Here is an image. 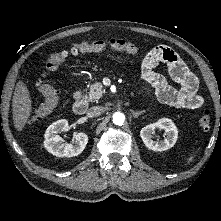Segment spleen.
I'll return each instance as SVG.
<instances>
[{
    "label": "spleen",
    "instance_id": "obj_1",
    "mask_svg": "<svg viewBox=\"0 0 221 221\" xmlns=\"http://www.w3.org/2000/svg\"><path fill=\"white\" fill-rule=\"evenodd\" d=\"M191 160H192V157H190L188 161H191Z\"/></svg>",
    "mask_w": 221,
    "mask_h": 221
}]
</instances>
